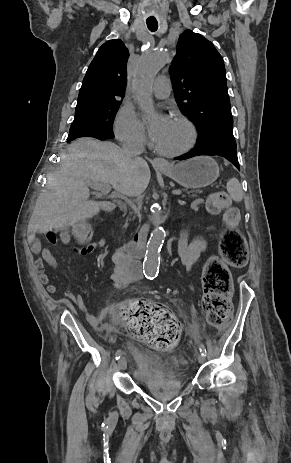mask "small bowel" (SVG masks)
<instances>
[{"label":"small bowel","mask_w":291,"mask_h":463,"mask_svg":"<svg viewBox=\"0 0 291 463\" xmlns=\"http://www.w3.org/2000/svg\"><path fill=\"white\" fill-rule=\"evenodd\" d=\"M60 240L63 244H70L71 236L67 233L60 235ZM107 243L104 239H98L86 246L75 248L74 251L80 255L91 253L95 249L105 248ZM206 243L202 239L188 240L187 234L183 233L179 241V254L181 261L185 267L190 269L204 253ZM32 250L35 254L39 255L35 260L34 267L37 276L41 283L46 285L47 291L51 294L57 292V287L54 284H49L48 275L44 269L45 264L52 269H58V264L52 252L41 245L39 240H32ZM114 273L110 276V282L115 289H121L131 283L139 281L143 278L140 263L127 255L124 252L116 251L113 254ZM67 297L73 301L78 308L85 314L88 323L94 327H102L108 315V308L103 307L97 314H90L88 311L87 302L82 295H75L72 291H67Z\"/></svg>","instance_id":"small-bowel-1"}]
</instances>
